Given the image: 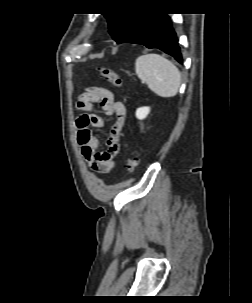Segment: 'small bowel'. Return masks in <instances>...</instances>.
I'll return each instance as SVG.
<instances>
[{
	"instance_id": "c3829d8e",
	"label": "small bowel",
	"mask_w": 252,
	"mask_h": 303,
	"mask_svg": "<svg viewBox=\"0 0 252 303\" xmlns=\"http://www.w3.org/2000/svg\"><path fill=\"white\" fill-rule=\"evenodd\" d=\"M97 105L105 114L115 116V122L105 142V151H98V138L93 133V129L104 125L103 120L94 113ZM78 109L83 113L76 123L77 141L82 155L92 170L102 174L109 173L116 165L115 157L120 150V135L126 118L125 107L114 100L113 93L108 89L87 87L79 98Z\"/></svg>"
}]
</instances>
